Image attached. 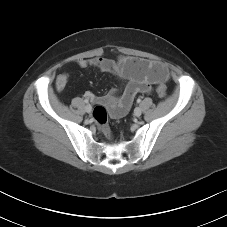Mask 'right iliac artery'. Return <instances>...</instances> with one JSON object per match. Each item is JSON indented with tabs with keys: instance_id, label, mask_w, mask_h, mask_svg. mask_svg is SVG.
I'll return each mask as SVG.
<instances>
[{
	"instance_id": "right-iliac-artery-1",
	"label": "right iliac artery",
	"mask_w": 227,
	"mask_h": 227,
	"mask_svg": "<svg viewBox=\"0 0 227 227\" xmlns=\"http://www.w3.org/2000/svg\"><path fill=\"white\" fill-rule=\"evenodd\" d=\"M84 102H85L86 104H88L89 101H88V99H85Z\"/></svg>"
}]
</instances>
